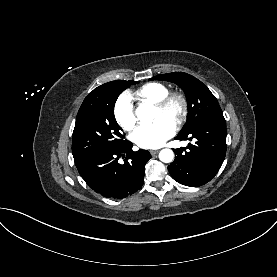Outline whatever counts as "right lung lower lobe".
<instances>
[{
  "label": "right lung lower lobe",
  "instance_id": "1",
  "mask_svg": "<svg viewBox=\"0 0 277 277\" xmlns=\"http://www.w3.org/2000/svg\"><path fill=\"white\" fill-rule=\"evenodd\" d=\"M132 143L104 147L74 159L87 185L104 197L122 199L144 183V168L151 158L147 150L132 151ZM124 158V163L118 162Z\"/></svg>",
  "mask_w": 277,
  "mask_h": 277
}]
</instances>
